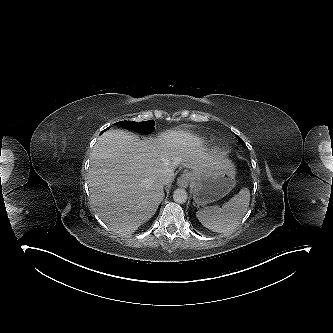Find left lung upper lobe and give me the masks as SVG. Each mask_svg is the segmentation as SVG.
<instances>
[{
	"label": "left lung upper lobe",
	"instance_id": "5c2ea615",
	"mask_svg": "<svg viewBox=\"0 0 333 333\" xmlns=\"http://www.w3.org/2000/svg\"><path fill=\"white\" fill-rule=\"evenodd\" d=\"M239 140H240V142H242V139H241V138H239Z\"/></svg>",
	"mask_w": 333,
	"mask_h": 333
}]
</instances>
